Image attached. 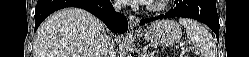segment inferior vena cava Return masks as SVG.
Returning a JSON list of instances; mask_svg holds the SVG:
<instances>
[{"instance_id": "obj_1", "label": "inferior vena cava", "mask_w": 249, "mask_h": 57, "mask_svg": "<svg viewBox=\"0 0 249 57\" xmlns=\"http://www.w3.org/2000/svg\"><path fill=\"white\" fill-rule=\"evenodd\" d=\"M114 8L117 12L121 11V4L115 3ZM115 44L112 38L106 34L101 38V48L99 57H115Z\"/></svg>"}]
</instances>
